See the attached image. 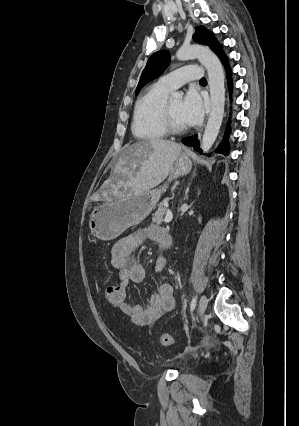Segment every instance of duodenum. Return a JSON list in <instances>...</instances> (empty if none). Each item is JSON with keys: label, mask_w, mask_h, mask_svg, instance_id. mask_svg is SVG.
I'll return each mask as SVG.
<instances>
[{"label": "duodenum", "mask_w": 299, "mask_h": 426, "mask_svg": "<svg viewBox=\"0 0 299 426\" xmlns=\"http://www.w3.org/2000/svg\"><path fill=\"white\" fill-rule=\"evenodd\" d=\"M171 236L165 231L162 237V245L165 248H168L171 245Z\"/></svg>", "instance_id": "obj_1"}]
</instances>
